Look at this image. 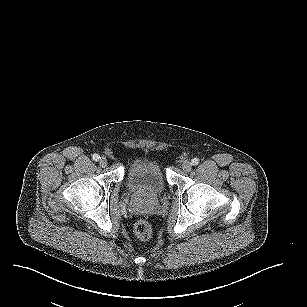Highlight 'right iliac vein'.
Instances as JSON below:
<instances>
[{"mask_svg":"<svg viewBox=\"0 0 307 307\" xmlns=\"http://www.w3.org/2000/svg\"><path fill=\"white\" fill-rule=\"evenodd\" d=\"M107 164H108V162H107L106 158H101V159H100L99 165H100L102 168L106 167Z\"/></svg>","mask_w":307,"mask_h":307,"instance_id":"right-iliac-vein-1","label":"right iliac vein"}]
</instances>
